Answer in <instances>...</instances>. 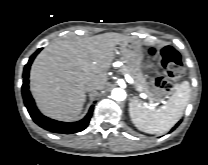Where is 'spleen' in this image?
Here are the masks:
<instances>
[{"label": "spleen", "mask_w": 208, "mask_h": 165, "mask_svg": "<svg viewBox=\"0 0 208 165\" xmlns=\"http://www.w3.org/2000/svg\"><path fill=\"white\" fill-rule=\"evenodd\" d=\"M190 92L189 82H182L168 102L157 109H151L137 98H132L129 102V115L132 123L139 130L149 134L165 133L182 117L190 98Z\"/></svg>", "instance_id": "1"}]
</instances>
